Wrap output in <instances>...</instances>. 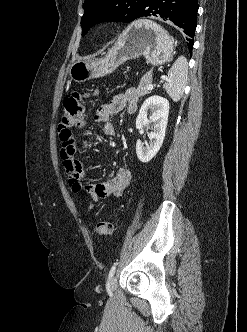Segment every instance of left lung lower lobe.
Returning a JSON list of instances; mask_svg holds the SVG:
<instances>
[{
	"mask_svg": "<svg viewBox=\"0 0 247 332\" xmlns=\"http://www.w3.org/2000/svg\"><path fill=\"white\" fill-rule=\"evenodd\" d=\"M198 0H147L139 17L155 16L173 22L187 35L189 50L193 49L197 25Z\"/></svg>",
	"mask_w": 247,
	"mask_h": 332,
	"instance_id": "left-lung-lower-lobe-1",
	"label": "left lung lower lobe"
}]
</instances>
